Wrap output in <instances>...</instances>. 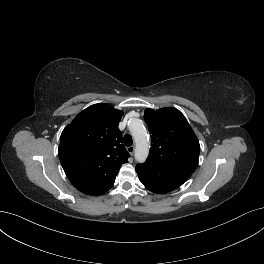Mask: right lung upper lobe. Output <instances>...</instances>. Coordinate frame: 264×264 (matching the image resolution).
<instances>
[{"label":"right lung upper lobe","instance_id":"1","mask_svg":"<svg viewBox=\"0 0 264 264\" xmlns=\"http://www.w3.org/2000/svg\"><path fill=\"white\" fill-rule=\"evenodd\" d=\"M123 112L108 104H94L80 112L64 128L58 154L75 188L88 195H101L115 182L129 153L118 129Z\"/></svg>","mask_w":264,"mask_h":264}]
</instances>
